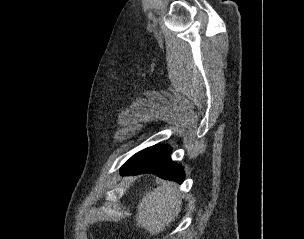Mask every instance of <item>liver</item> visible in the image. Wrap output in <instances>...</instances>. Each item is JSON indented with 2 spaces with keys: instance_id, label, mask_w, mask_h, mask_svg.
Wrapping results in <instances>:
<instances>
[{
  "instance_id": "obj_1",
  "label": "liver",
  "mask_w": 304,
  "mask_h": 239,
  "mask_svg": "<svg viewBox=\"0 0 304 239\" xmlns=\"http://www.w3.org/2000/svg\"><path fill=\"white\" fill-rule=\"evenodd\" d=\"M182 200L177 184L163 181L160 186L146 192L137 207L136 224L150 235L159 234L178 216Z\"/></svg>"
}]
</instances>
